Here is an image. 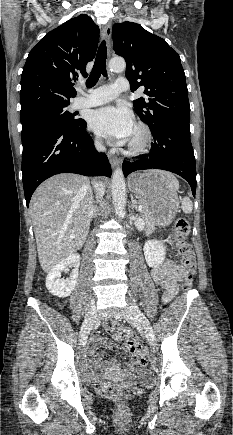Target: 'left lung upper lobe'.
<instances>
[{"instance_id": "1", "label": "left lung upper lobe", "mask_w": 233, "mask_h": 435, "mask_svg": "<svg viewBox=\"0 0 233 435\" xmlns=\"http://www.w3.org/2000/svg\"><path fill=\"white\" fill-rule=\"evenodd\" d=\"M114 51L126 60L131 91L144 86L146 98L133 102L151 131L189 124L190 105L180 56L168 43L133 22L113 27Z\"/></svg>"}]
</instances>
